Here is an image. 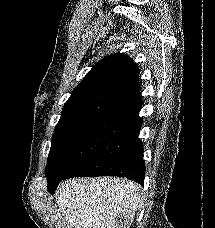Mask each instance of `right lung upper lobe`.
<instances>
[{
	"mask_svg": "<svg viewBox=\"0 0 215 228\" xmlns=\"http://www.w3.org/2000/svg\"><path fill=\"white\" fill-rule=\"evenodd\" d=\"M142 105L139 69L127 55L112 54L96 63L74 89L54 132L97 119L132 125L141 120Z\"/></svg>",
	"mask_w": 215,
	"mask_h": 228,
	"instance_id": "1",
	"label": "right lung upper lobe"
}]
</instances>
